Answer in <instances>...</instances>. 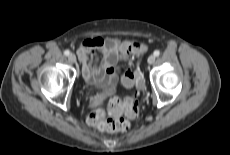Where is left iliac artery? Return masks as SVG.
<instances>
[{
	"label": "left iliac artery",
	"mask_w": 230,
	"mask_h": 155,
	"mask_svg": "<svg viewBox=\"0 0 230 155\" xmlns=\"http://www.w3.org/2000/svg\"><path fill=\"white\" fill-rule=\"evenodd\" d=\"M159 55H160V51H159V50H155V51H154V56L157 57V56H159Z\"/></svg>",
	"instance_id": "44dca946"
}]
</instances>
